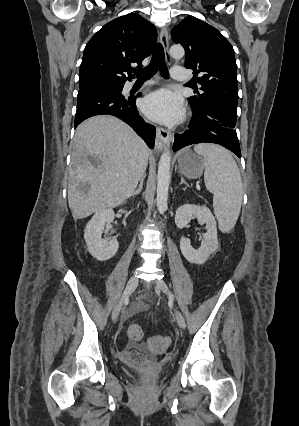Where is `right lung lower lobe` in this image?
Here are the masks:
<instances>
[{
    "label": "right lung lower lobe",
    "mask_w": 299,
    "mask_h": 426,
    "mask_svg": "<svg viewBox=\"0 0 299 426\" xmlns=\"http://www.w3.org/2000/svg\"><path fill=\"white\" fill-rule=\"evenodd\" d=\"M137 97H140V94ZM77 98L75 128L89 117L113 115L130 125L151 149L154 148L156 129L139 115L136 97H124L122 89L87 86L79 89Z\"/></svg>",
    "instance_id": "1"
}]
</instances>
